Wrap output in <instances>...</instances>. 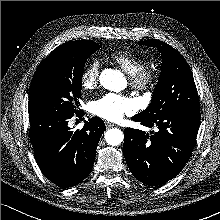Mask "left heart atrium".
I'll return each instance as SVG.
<instances>
[{
  "label": "left heart atrium",
  "instance_id": "obj_1",
  "mask_svg": "<svg viewBox=\"0 0 220 220\" xmlns=\"http://www.w3.org/2000/svg\"><path fill=\"white\" fill-rule=\"evenodd\" d=\"M135 101L127 96L109 93L91 102L90 111L103 119L117 121L135 111Z\"/></svg>",
  "mask_w": 220,
  "mask_h": 220
}]
</instances>
